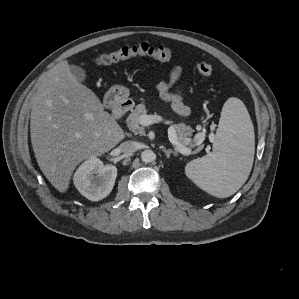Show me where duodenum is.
I'll use <instances>...</instances> for the list:
<instances>
[{
  "mask_svg": "<svg viewBox=\"0 0 299 299\" xmlns=\"http://www.w3.org/2000/svg\"><path fill=\"white\" fill-rule=\"evenodd\" d=\"M112 115L114 118L122 117L131 107V103L128 100H119L112 104Z\"/></svg>",
  "mask_w": 299,
  "mask_h": 299,
  "instance_id": "obj_1",
  "label": "duodenum"
}]
</instances>
